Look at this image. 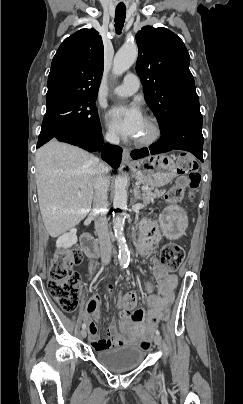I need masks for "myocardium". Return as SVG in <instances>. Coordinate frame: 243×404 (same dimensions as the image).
<instances>
[{"instance_id": "1", "label": "myocardium", "mask_w": 243, "mask_h": 404, "mask_svg": "<svg viewBox=\"0 0 243 404\" xmlns=\"http://www.w3.org/2000/svg\"><path fill=\"white\" fill-rule=\"evenodd\" d=\"M130 42L128 39L127 44H130ZM146 120L150 123L151 133L147 138L135 141V145L138 147H151L159 142L163 135V127L158 118L148 115Z\"/></svg>"}]
</instances>
